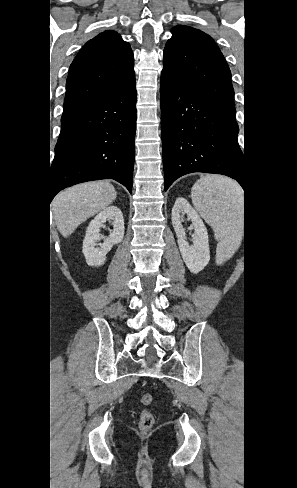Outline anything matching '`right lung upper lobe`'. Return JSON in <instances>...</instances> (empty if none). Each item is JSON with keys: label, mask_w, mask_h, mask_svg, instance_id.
<instances>
[{"label": "right lung upper lobe", "mask_w": 297, "mask_h": 488, "mask_svg": "<svg viewBox=\"0 0 297 488\" xmlns=\"http://www.w3.org/2000/svg\"><path fill=\"white\" fill-rule=\"evenodd\" d=\"M134 75L129 43L115 31L100 33L82 47L70 66L62 116L103 97Z\"/></svg>", "instance_id": "right-lung-upper-lobe-1"}]
</instances>
